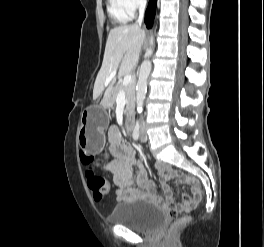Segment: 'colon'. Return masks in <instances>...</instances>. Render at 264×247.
Segmentation results:
<instances>
[{
    "mask_svg": "<svg viewBox=\"0 0 264 247\" xmlns=\"http://www.w3.org/2000/svg\"><path fill=\"white\" fill-rule=\"evenodd\" d=\"M82 160L85 163H92L94 160L93 155H83ZM88 185L92 190L94 199L96 201H103L110 192V183L104 177L98 175L93 169L86 172ZM182 183L192 186L197 189L196 181L191 177H183ZM200 201V194L198 191L189 196H185L182 201L172 204L170 215L175 218L171 228L175 229L185 224L189 220L188 214L193 211Z\"/></svg>",
    "mask_w": 264,
    "mask_h": 247,
    "instance_id": "obj_1",
    "label": "colon"
}]
</instances>
